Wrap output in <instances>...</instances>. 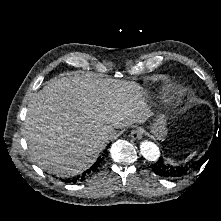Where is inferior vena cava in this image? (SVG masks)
<instances>
[{
  "instance_id": "obj_1",
  "label": "inferior vena cava",
  "mask_w": 221,
  "mask_h": 221,
  "mask_svg": "<svg viewBox=\"0 0 221 221\" xmlns=\"http://www.w3.org/2000/svg\"><path fill=\"white\" fill-rule=\"evenodd\" d=\"M103 137L107 140H112L116 137V131L113 129H108L104 132Z\"/></svg>"
}]
</instances>
